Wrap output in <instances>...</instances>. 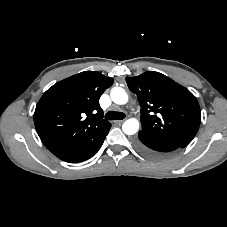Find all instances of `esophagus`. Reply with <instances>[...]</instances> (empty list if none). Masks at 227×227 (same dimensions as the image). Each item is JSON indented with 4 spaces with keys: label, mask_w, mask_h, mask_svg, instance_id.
Here are the masks:
<instances>
[{
    "label": "esophagus",
    "mask_w": 227,
    "mask_h": 227,
    "mask_svg": "<svg viewBox=\"0 0 227 227\" xmlns=\"http://www.w3.org/2000/svg\"><path fill=\"white\" fill-rule=\"evenodd\" d=\"M124 121H125V120H116V121H115V124L120 125V124H122Z\"/></svg>",
    "instance_id": "1"
}]
</instances>
